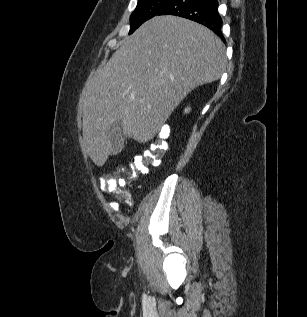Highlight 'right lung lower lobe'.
Returning <instances> with one entry per match:
<instances>
[{
    "instance_id": "obj_1",
    "label": "right lung lower lobe",
    "mask_w": 307,
    "mask_h": 317,
    "mask_svg": "<svg viewBox=\"0 0 307 317\" xmlns=\"http://www.w3.org/2000/svg\"><path fill=\"white\" fill-rule=\"evenodd\" d=\"M159 15H175L193 20L208 27L225 41L217 0H172Z\"/></svg>"
}]
</instances>
